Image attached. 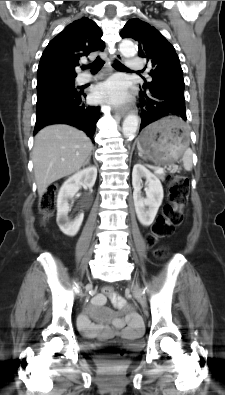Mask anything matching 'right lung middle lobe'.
<instances>
[{
    "instance_id": "right-lung-middle-lobe-1",
    "label": "right lung middle lobe",
    "mask_w": 225,
    "mask_h": 395,
    "mask_svg": "<svg viewBox=\"0 0 225 395\" xmlns=\"http://www.w3.org/2000/svg\"><path fill=\"white\" fill-rule=\"evenodd\" d=\"M74 80L53 83L41 87H37V102L45 99L47 96L58 91H74Z\"/></svg>"
}]
</instances>
